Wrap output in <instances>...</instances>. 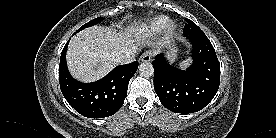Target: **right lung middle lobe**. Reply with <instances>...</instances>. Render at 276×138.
I'll return each instance as SVG.
<instances>
[{
  "instance_id": "obj_1",
  "label": "right lung middle lobe",
  "mask_w": 276,
  "mask_h": 138,
  "mask_svg": "<svg viewBox=\"0 0 276 138\" xmlns=\"http://www.w3.org/2000/svg\"><path fill=\"white\" fill-rule=\"evenodd\" d=\"M101 20H102L101 17L95 18V19L89 21L88 23L84 24V25H83L82 27H80L76 32H79L80 30H82V29H84V28L93 26V25L97 24L98 22H100Z\"/></svg>"
}]
</instances>
